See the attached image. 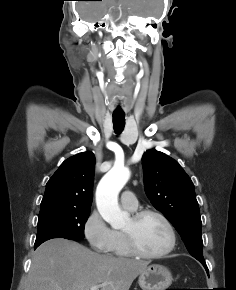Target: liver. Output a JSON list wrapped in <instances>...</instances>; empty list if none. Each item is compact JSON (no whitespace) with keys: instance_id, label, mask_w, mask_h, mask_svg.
Returning a JSON list of instances; mask_svg holds the SVG:
<instances>
[{"instance_id":"6515ba94","label":"liver","mask_w":236,"mask_h":290,"mask_svg":"<svg viewBox=\"0 0 236 290\" xmlns=\"http://www.w3.org/2000/svg\"><path fill=\"white\" fill-rule=\"evenodd\" d=\"M148 262L95 253L62 238L41 244L33 254L25 290H129Z\"/></svg>"}]
</instances>
